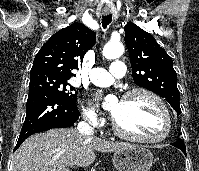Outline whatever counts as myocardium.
Here are the masks:
<instances>
[{
	"mask_svg": "<svg viewBox=\"0 0 199 171\" xmlns=\"http://www.w3.org/2000/svg\"><path fill=\"white\" fill-rule=\"evenodd\" d=\"M135 94H144V95L150 97L157 104V106L161 110L163 118H164L165 125H164L163 132L157 137H147V136L134 134V133H131V132L125 130L119 124V122L116 120V118L113 116L114 131L118 135H120L124 138L131 139V140H134L137 142L159 143V142L166 140L169 137L171 130H172V119H171L169 109H168L166 103L164 102V100L155 92L151 91L150 89L144 88V87H135V88H131V89L127 90L126 92H124L121 99H127Z\"/></svg>",
	"mask_w": 199,
	"mask_h": 171,
	"instance_id": "obj_1",
	"label": "myocardium"
}]
</instances>
